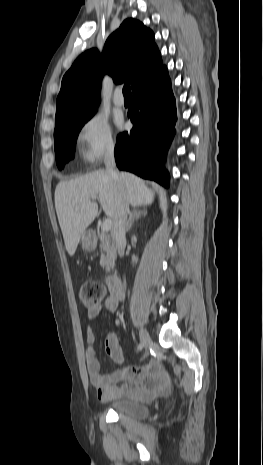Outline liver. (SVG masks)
<instances>
[{"mask_svg": "<svg viewBox=\"0 0 263 465\" xmlns=\"http://www.w3.org/2000/svg\"><path fill=\"white\" fill-rule=\"evenodd\" d=\"M119 180L133 207L150 205L153 192L144 181L132 173L120 172ZM99 196L105 214L114 217L118 201V187L107 171H94L69 181H61L55 189V208L65 247L73 256L78 243L98 213Z\"/></svg>", "mask_w": 263, "mask_h": 465, "instance_id": "1", "label": "liver"}]
</instances>
